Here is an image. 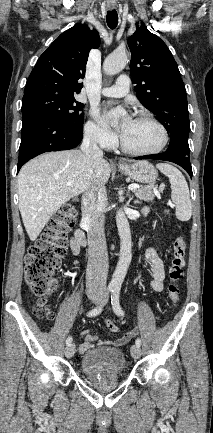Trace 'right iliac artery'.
I'll list each match as a JSON object with an SVG mask.
<instances>
[{"mask_svg":"<svg viewBox=\"0 0 213 433\" xmlns=\"http://www.w3.org/2000/svg\"><path fill=\"white\" fill-rule=\"evenodd\" d=\"M110 291H112V288H111V287H108L106 294H108ZM105 297H106V296H105ZM105 302H106V299H104V300L101 302L100 305H98L97 307H95V308H93L92 310H90V311L87 313V316H88V317H94V316L99 315V314L102 312V310H103V306H104ZM71 343H72V337H68L67 340H66V344H67V345H70Z\"/></svg>","mask_w":213,"mask_h":433,"instance_id":"right-iliac-artery-1","label":"right iliac artery"}]
</instances>
